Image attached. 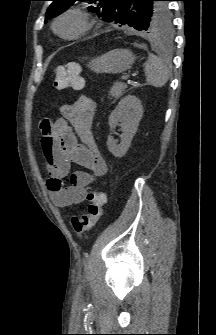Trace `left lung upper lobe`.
I'll list each match as a JSON object with an SVG mask.
<instances>
[{"instance_id": "5c2ea615", "label": "left lung upper lobe", "mask_w": 216, "mask_h": 335, "mask_svg": "<svg viewBox=\"0 0 216 335\" xmlns=\"http://www.w3.org/2000/svg\"><path fill=\"white\" fill-rule=\"evenodd\" d=\"M45 23L65 11L77 0H51ZM95 6L88 7L105 21L129 26L152 34L169 33L172 17L167 0H85Z\"/></svg>"}]
</instances>
